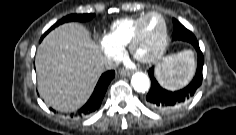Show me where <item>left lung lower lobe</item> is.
Returning a JSON list of instances; mask_svg holds the SVG:
<instances>
[{
	"mask_svg": "<svg viewBox=\"0 0 236 135\" xmlns=\"http://www.w3.org/2000/svg\"><path fill=\"white\" fill-rule=\"evenodd\" d=\"M174 33L173 40H181L191 43L198 53V65L196 74L188 86L179 91L171 92L163 89L154 77V68L149 70L151 79V88L146 96L147 104L155 110L168 112L178 108L194 96L198 88L202 84V69L204 57L199 48L196 37L186 29L178 20L173 19Z\"/></svg>",
	"mask_w": 236,
	"mask_h": 135,
	"instance_id": "left-lung-lower-lobe-1",
	"label": "left lung lower lobe"
}]
</instances>
